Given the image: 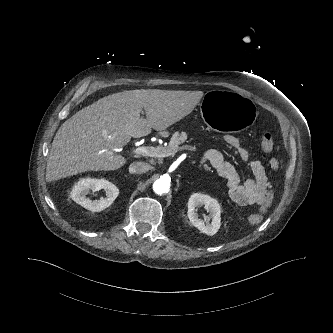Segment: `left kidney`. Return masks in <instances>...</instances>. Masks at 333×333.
<instances>
[{"instance_id": "left-kidney-1", "label": "left kidney", "mask_w": 333, "mask_h": 333, "mask_svg": "<svg viewBox=\"0 0 333 333\" xmlns=\"http://www.w3.org/2000/svg\"><path fill=\"white\" fill-rule=\"evenodd\" d=\"M203 205L210 212V217L212 219L211 223L206 220L202 221L198 217L196 207H201ZM220 213L221 208L216 199L201 193H194L190 196L188 201V218L191 224L201 232L211 236L216 234L221 224Z\"/></svg>"}]
</instances>
